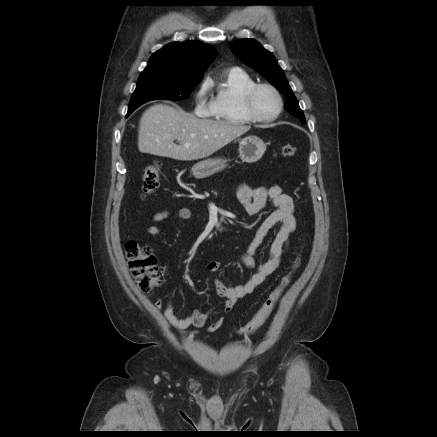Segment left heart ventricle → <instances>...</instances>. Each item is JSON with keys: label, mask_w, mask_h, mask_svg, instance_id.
<instances>
[{"label": "left heart ventricle", "mask_w": 437, "mask_h": 437, "mask_svg": "<svg viewBox=\"0 0 437 437\" xmlns=\"http://www.w3.org/2000/svg\"><path fill=\"white\" fill-rule=\"evenodd\" d=\"M254 108L263 117H270L278 109V101L269 89H260L254 98Z\"/></svg>", "instance_id": "1"}]
</instances>
